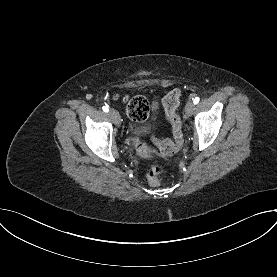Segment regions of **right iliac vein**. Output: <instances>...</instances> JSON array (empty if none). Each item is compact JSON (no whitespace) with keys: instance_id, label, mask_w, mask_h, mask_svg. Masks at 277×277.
I'll list each match as a JSON object with an SVG mask.
<instances>
[{"instance_id":"right-iliac-vein-1","label":"right iliac vein","mask_w":277,"mask_h":277,"mask_svg":"<svg viewBox=\"0 0 277 277\" xmlns=\"http://www.w3.org/2000/svg\"><path fill=\"white\" fill-rule=\"evenodd\" d=\"M109 115H110V117L112 118L113 122H114L117 126H119V125L121 124V118H120V116H119V113H118L116 110L111 109V110L109 111Z\"/></svg>"}]
</instances>
